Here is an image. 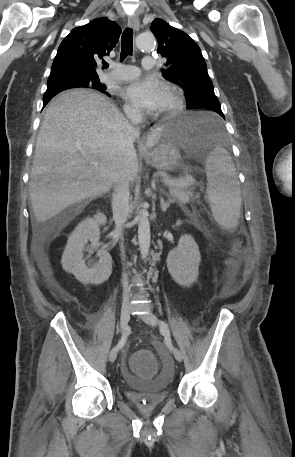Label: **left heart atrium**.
<instances>
[{
  "label": "left heart atrium",
  "instance_id": "1",
  "mask_svg": "<svg viewBox=\"0 0 295 457\" xmlns=\"http://www.w3.org/2000/svg\"><path fill=\"white\" fill-rule=\"evenodd\" d=\"M164 87L155 79H138L130 83L124 92L125 98L133 105L149 112L160 106Z\"/></svg>",
  "mask_w": 295,
  "mask_h": 457
}]
</instances>
